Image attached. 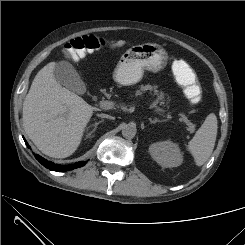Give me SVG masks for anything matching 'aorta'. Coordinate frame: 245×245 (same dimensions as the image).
I'll list each match as a JSON object with an SVG mask.
<instances>
[{
  "label": "aorta",
  "mask_w": 245,
  "mask_h": 245,
  "mask_svg": "<svg viewBox=\"0 0 245 245\" xmlns=\"http://www.w3.org/2000/svg\"><path fill=\"white\" fill-rule=\"evenodd\" d=\"M137 132L136 125L134 123L125 124L122 128V135L127 139H132L135 137Z\"/></svg>",
  "instance_id": "762f6f07"
}]
</instances>
